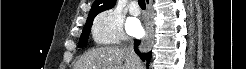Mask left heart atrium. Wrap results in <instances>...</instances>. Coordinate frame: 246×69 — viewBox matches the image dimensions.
Segmentation results:
<instances>
[{
    "instance_id": "obj_1",
    "label": "left heart atrium",
    "mask_w": 246,
    "mask_h": 69,
    "mask_svg": "<svg viewBox=\"0 0 246 69\" xmlns=\"http://www.w3.org/2000/svg\"><path fill=\"white\" fill-rule=\"evenodd\" d=\"M127 30L132 35H139L142 33V27L137 20H129L127 24Z\"/></svg>"
}]
</instances>
